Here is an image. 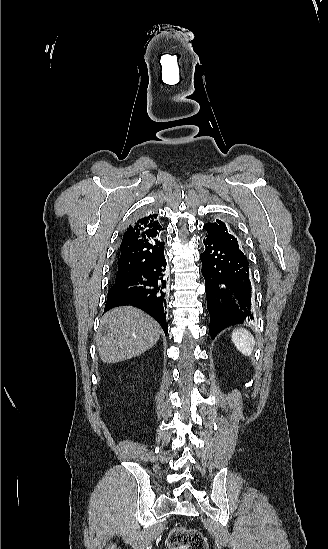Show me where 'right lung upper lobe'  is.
Wrapping results in <instances>:
<instances>
[{
  "instance_id": "obj_1",
  "label": "right lung upper lobe",
  "mask_w": 328,
  "mask_h": 549,
  "mask_svg": "<svg viewBox=\"0 0 328 549\" xmlns=\"http://www.w3.org/2000/svg\"><path fill=\"white\" fill-rule=\"evenodd\" d=\"M163 231L158 214L146 213L129 225L117 253L118 281L137 273L163 253Z\"/></svg>"
}]
</instances>
